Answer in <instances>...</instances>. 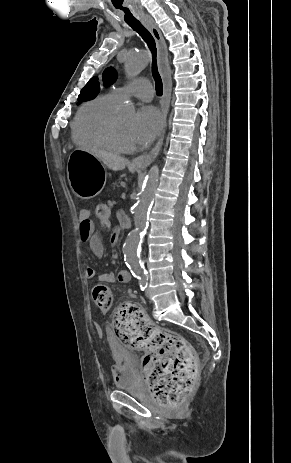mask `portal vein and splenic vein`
<instances>
[{
	"instance_id": "portal-vein-and-splenic-vein-1",
	"label": "portal vein and splenic vein",
	"mask_w": 291,
	"mask_h": 463,
	"mask_svg": "<svg viewBox=\"0 0 291 463\" xmlns=\"http://www.w3.org/2000/svg\"><path fill=\"white\" fill-rule=\"evenodd\" d=\"M121 197H122V198H125V197H126V193L123 192V193L121 194Z\"/></svg>"
}]
</instances>
